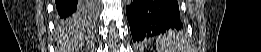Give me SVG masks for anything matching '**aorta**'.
Returning <instances> with one entry per match:
<instances>
[{"label": "aorta", "mask_w": 261, "mask_h": 52, "mask_svg": "<svg viewBox=\"0 0 261 52\" xmlns=\"http://www.w3.org/2000/svg\"><path fill=\"white\" fill-rule=\"evenodd\" d=\"M133 1L132 0H128V3L131 4Z\"/></svg>", "instance_id": "obj_1"}]
</instances>
